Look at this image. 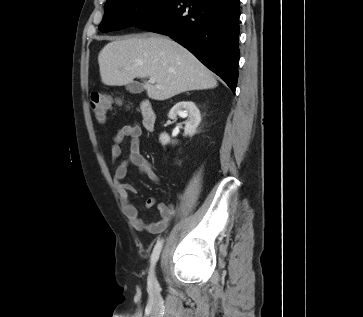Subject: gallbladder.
Listing matches in <instances>:
<instances>
[{
  "mask_svg": "<svg viewBox=\"0 0 363 317\" xmlns=\"http://www.w3.org/2000/svg\"><path fill=\"white\" fill-rule=\"evenodd\" d=\"M126 89L132 94H138L144 90V87L139 82H131L126 85Z\"/></svg>",
  "mask_w": 363,
  "mask_h": 317,
  "instance_id": "bac80fb5",
  "label": "gallbladder"
}]
</instances>
